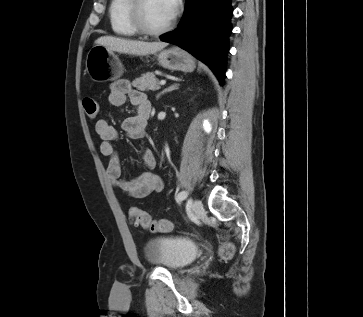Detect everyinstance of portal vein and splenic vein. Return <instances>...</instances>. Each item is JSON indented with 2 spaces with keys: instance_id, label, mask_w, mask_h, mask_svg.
<instances>
[{
  "instance_id": "obj_1",
  "label": "portal vein and splenic vein",
  "mask_w": 363,
  "mask_h": 317,
  "mask_svg": "<svg viewBox=\"0 0 363 317\" xmlns=\"http://www.w3.org/2000/svg\"><path fill=\"white\" fill-rule=\"evenodd\" d=\"M166 84V81L165 80H161L160 81V85H165Z\"/></svg>"
}]
</instances>
